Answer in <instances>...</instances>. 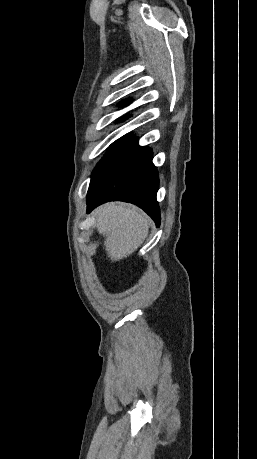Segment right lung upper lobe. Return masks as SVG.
<instances>
[{
  "label": "right lung upper lobe",
  "instance_id": "obj_1",
  "mask_svg": "<svg viewBox=\"0 0 257 459\" xmlns=\"http://www.w3.org/2000/svg\"><path fill=\"white\" fill-rule=\"evenodd\" d=\"M128 102H129L128 100H126V101H123V102H121V103L119 104V106H125V105H127V104H128Z\"/></svg>",
  "mask_w": 257,
  "mask_h": 459
}]
</instances>
